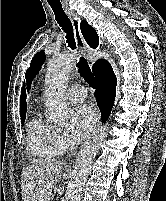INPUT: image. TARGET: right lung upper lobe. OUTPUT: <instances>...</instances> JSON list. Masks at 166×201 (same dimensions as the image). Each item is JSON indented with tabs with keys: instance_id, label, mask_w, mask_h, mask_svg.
I'll list each match as a JSON object with an SVG mask.
<instances>
[{
	"instance_id": "1",
	"label": "right lung upper lobe",
	"mask_w": 166,
	"mask_h": 201,
	"mask_svg": "<svg viewBox=\"0 0 166 201\" xmlns=\"http://www.w3.org/2000/svg\"><path fill=\"white\" fill-rule=\"evenodd\" d=\"M81 32L86 40V42L89 44L90 47L95 49L99 44V37L94 30L93 27H91L86 21L82 20L80 24ZM104 60L99 59L93 66V72L95 73L99 68L101 63ZM26 94H25V84H23L21 96H20V116L21 118H24L26 115Z\"/></svg>"
}]
</instances>
